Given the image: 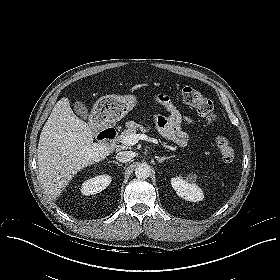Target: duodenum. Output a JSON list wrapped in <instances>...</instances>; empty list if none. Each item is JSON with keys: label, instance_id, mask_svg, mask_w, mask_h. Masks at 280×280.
Masks as SVG:
<instances>
[{"label": "duodenum", "instance_id": "1", "mask_svg": "<svg viewBox=\"0 0 280 280\" xmlns=\"http://www.w3.org/2000/svg\"><path fill=\"white\" fill-rule=\"evenodd\" d=\"M104 136L110 144H113L117 138V131L113 126H109L105 129Z\"/></svg>", "mask_w": 280, "mask_h": 280}]
</instances>
